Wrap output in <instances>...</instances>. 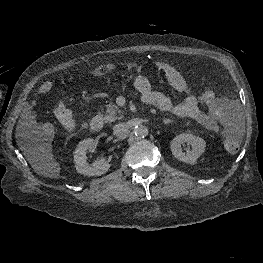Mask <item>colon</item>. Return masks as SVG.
Masks as SVG:
<instances>
[{"label":"colon","mask_w":263,"mask_h":263,"mask_svg":"<svg viewBox=\"0 0 263 263\" xmlns=\"http://www.w3.org/2000/svg\"><path fill=\"white\" fill-rule=\"evenodd\" d=\"M126 68L137 72H145L146 68L135 62H125L123 64ZM202 101L208 106L209 110L214 115H220L222 113V106L216 100L215 96L211 92H205L202 96ZM55 115L61 124V126L72 132L76 129V121L72 115V112L64 105L55 107ZM222 141L225 149L229 152H236L240 145V133L235 128H227L222 134Z\"/></svg>","instance_id":"colon-1"}]
</instances>
